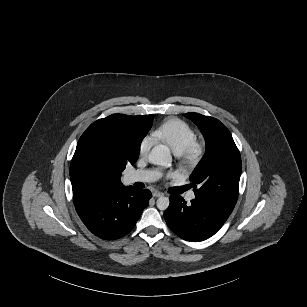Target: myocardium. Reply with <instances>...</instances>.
I'll list each match as a JSON object with an SVG mask.
<instances>
[{
  "label": "myocardium",
  "instance_id": "myocardium-1",
  "mask_svg": "<svg viewBox=\"0 0 307 307\" xmlns=\"http://www.w3.org/2000/svg\"><path fill=\"white\" fill-rule=\"evenodd\" d=\"M204 153V147L200 143H192L182 153L177 154V158L189 165L197 164Z\"/></svg>",
  "mask_w": 307,
  "mask_h": 307
}]
</instances>
